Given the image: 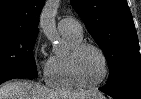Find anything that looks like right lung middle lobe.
I'll return each mask as SVG.
<instances>
[{"label":"right lung middle lobe","mask_w":141,"mask_h":99,"mask_svg":"<svg viewBox=\"0 0 141 99\" xmlns=\"http://www.w3.org/2000/svg\"><path fill=\"white\" fill-rule=\"evenodd\" d=\"M37 34L20 30L0 31V77L13 74L37 75L32 55Z\"/></svg>","instance_id":"obj_1"}]
</instances>
